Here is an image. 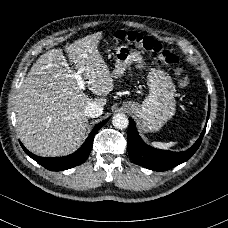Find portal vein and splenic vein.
Returning a JSON list of instances; mask_svg holds the SVG:
<instances>
[{
	"mask_svg": "<svg viewBox=\"0 0 228 228\" xmlns=\"http://www.w3.org/2000/svg\"><path fill=\"white\" fill-rule=\"evenodd\" d=\"M71 76L75 77L80 89H84L88 84L94 83L92 80H84L80 71L74 72Z\"/></svg>",
	"mask_w": 228,
	"mask_h": 228,
	"instance_id": "portal-vein-and-splenic-vein-1",
	"label": "portal vein and splenic vein"
}]
</instances>
